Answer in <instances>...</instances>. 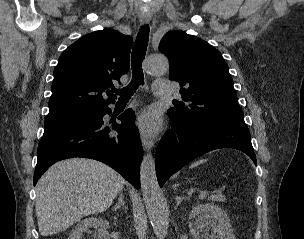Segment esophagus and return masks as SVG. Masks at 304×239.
<instances>
[{"label":"esophagus","instance_id":"obj_1","mask_svg":"<svg viewBox=\"0 0 304 239\" xmlns=\"http://www.w3.org/2000/svg\"><path fill=\"white\" fill-rule=\"evenodd\" d=\"M140 22H141L142 25H146V24L149 23V19L148 18H142ZM141 142H142V146H143L145 151L151 150L154 146V141L152 139L148 138L147 136H142L141 137Z\"/></svg>","mask_w":304,"mask_h":239}]
</instances>
